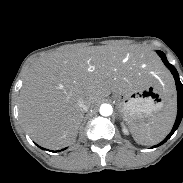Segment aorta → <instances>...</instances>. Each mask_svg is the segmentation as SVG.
<instances>
[{
    "label": "aorta",
    "mask_w": 183,
    "mask_h": 183,
    "mask_svg": "<svg viewBox=\"0 0 183 183\" xmlns=\"http://www.w3.org/2000/svg\"><path fill=\"white\" fill-rule=\"evenodd\" d=\"M99 112H100V114L102 116H106L107 117V116H110L112 114L113 108H112V106L110 104L105 103V104H102L100 106Z\"/></svg>",
    "instance_id": "obj_1"
}]
</instances>
